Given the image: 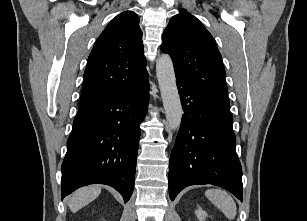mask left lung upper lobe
<instances>
[{
  "label": "left lung upper lobe",
  "mask_w": 307,
  "mask_h": 221,
  "mask_svg": "<svg viewBox=\"0 0 307 221\" xmlns=\"http://www.w3.org/2000/svg\"><path fill=\"white\" fill-rule=\"evenodd\" d=\"M161 51L171 56L175 75L205 96L230 106L220 52L196 17L181 9L171 18L163 33Z\"/></svg>",
  "instance_id": "left-lung-upper-lobe-1"
}]
</instances>
